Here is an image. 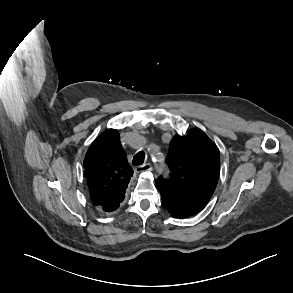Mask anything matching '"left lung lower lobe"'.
<instances>
[{
	"instance_id": "1",
	"label": "left lung lower lobe",
	"mask_w": 293,
	"mask_h": 293,
	"mask_svg": "<svg viewBox=\"0 0 293 293\" xmlns=\"http://www.w3.org/2000/svg\"><path fill=\"white\" fill-rule=\"evenodd\" d=\"M162 202H163V205L168 209V211L175 217L185 218V217H189L191 215H194V213L191 212L190 210L185 209V208L171 202L170 200L162 198Z\"/></svg>"
}]
</instances>
